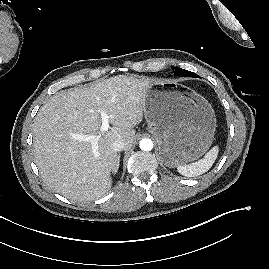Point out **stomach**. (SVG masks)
I'll return each mask as SVG.
<instances>
[{
	"instance_id": "0dacf381",
	"label": "stomach",
	"mask_w": 269,
	"mask_h": 269,
	"mask_svg": "<svg viewBox=\"0 0 269 269\" xmlns=\"http://www.w3.org/2000/svg\"><path fill=\"white\" fill-rule=\"evenodd\" d=\"M143 110L148 131L156 138L167 167L193 161L210 147L216 128L211 104L193 90L172 81L149 84Z\"/></svg>"
}]
</instances>
